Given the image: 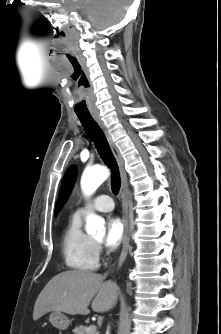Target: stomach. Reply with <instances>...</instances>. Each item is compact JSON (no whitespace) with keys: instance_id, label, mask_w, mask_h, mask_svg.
Listing matches in <instances>:
<instances>
[{"instance_id":"0dacf381","label":"stomach","mask_w":221,"mask_h":334,"mask_svg":"<svg viewBox=\"0 0 221 334\" xmlns=\"http://www.w3.org/2000/svg\"><path fill=\"white\" fill-rule=\"evenodd\" d=\"M50 323L57 329L66 330L71 321L69 318L59 311H52L49 315Z\"/></svg>"}]
</instances>
